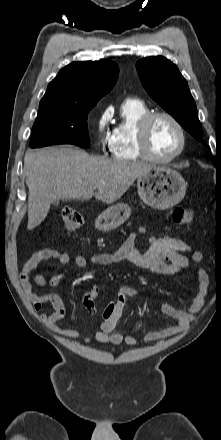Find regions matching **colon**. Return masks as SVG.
<instances>
[{
  "mask_svg": "<svg viewBox=\"0 0 221 440\" xmlns=\"http://www.w3.org/2000/svg\"><path fill=\"white\" fill-rule=\"evenodd\" d=\"M61 215L63 228L66 231H75L82 226L83 219L77 210L73 208H64ZM171 219L177 225L189 226L194 220V212L189 207L178 206L172 210ZM96 297V290H92L86 294L83 299V306L86 310L90 312L94 311ZM115 310L116 303L113 300H110L108 303H104L100 311V316L101 318H112Z\"/></svg>",
  "mask_w": 221,
  "mask_h": 440,
  "instance_id": "obj_1",
  "label": "colon"
}]
</instances>
